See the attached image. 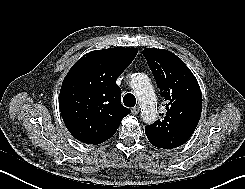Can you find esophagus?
<instances>
[{
    "label": "esophagus",
    "instance_id": "obj_1",
    "mask_svg": "<svg viewBox=\"0 0 245 189\" xmlns=\"http://www.w3.org/2000/svg\"><path fill=\"white\" fill-rule=\"evenodd\" d=\"M139 111H140V108L138 106H135L132 108L133 115H137L139 113Z\"/></svg>",
    "mask_w": 245,
    "mask_h": 189
}]
</instances>
